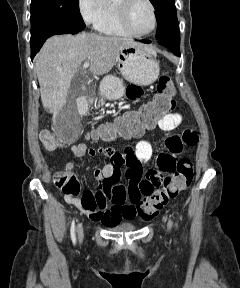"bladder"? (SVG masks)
<instances>
[{
	"instance_id": "bladder-1",
	"label": "bladder",
	"mask_w": 240,
	"mask_h": 288,
	"mask_svg": "<svg viewBox=\"0 0 240 288\" xmlns=\"http://www.w3.org/2000/svg\"><path fill=\"white\" fill-rule=\"evenodd\" d=\"M109 229L112 231L132 232L137 230V226L129 222H124L109 226Z\"/></svg>"
}]
</instances>
